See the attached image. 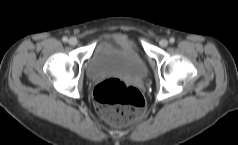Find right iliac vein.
Returning a JSON list of instances; mask_svg holds the SVG:
<instances>
[{
	"label": "right iliac vein",
	"instance_id": "1",
	"mask_svg": "<svg viewBox=\"0 0 238 145\" xmlns=\"http://www.w3.org/2000/svg\"><path fill=\"white\" fill-rule=\"evenodd\" d=\"M68 43L71 46H75V45H77L78 41H77L76 38L72 37V38L69 39Z\"/></svg>",
	"mask_w": 238,
	"mask_h": 145
}]
</instances>
